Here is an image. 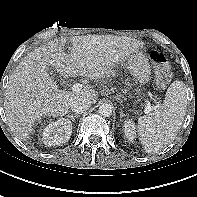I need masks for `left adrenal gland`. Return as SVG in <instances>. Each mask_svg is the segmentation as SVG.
Instances as JSON below:
<instances>
[{
	"instance_id": "1",
	"label": "left adrenal gland",
	"mask_w": 197,
	"mask_h": 197,
	"mask_svg": "<svg viewBox=\"0 0 197 197\" xmlns=\"http://www.w3.org/2000/svg\"><path fill=\"white\" fill-rule=\"evenodd\" d=\"M125 116V114H123V110H121V112H120V117L122 118V117H124Z\"/></svg>"
}]
</instances>
